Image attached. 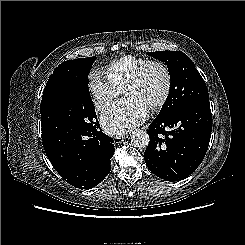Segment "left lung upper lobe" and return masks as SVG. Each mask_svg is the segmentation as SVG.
<instances>
[{
	"instance_id": "obj_1",
	"label": "left lung upper lobe",
	"mask_w": 245,
	"mask_h": 245,
	"mask_svg": "<svg viewBox=\"0 0 245 245\" xmlns=\"http://www.w3.org/2000/svg\"><path fill=\"white\" fill-rule=\"evenodd\" d=\"M163 61L170 73L169 95L156 118L167 119L197 100H209L206 84L192 60L181 51L148 52Z\"/></svg>"
}]
</instances>
